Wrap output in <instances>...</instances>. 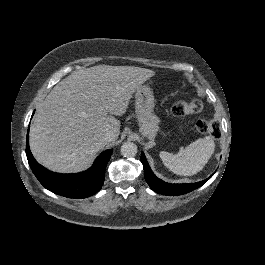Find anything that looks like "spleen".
I'll use <instances>...</instances> for the list:
<instances>
[{"mask_svg":"<svg viewBox=\"0 0 265 265\" xmlns=\"http://www.w3.org/2000/svg\"><path fill=\"white\" fill-rule=\"evenodd\" d=\"M214 148L215 143L212 139L199 138L177 154L161 151L160 158L173 173L191 176L203 169L214 153Z\"/></svg>","mask_w":265,"mask_h":265,"instance_id":"spleen-1","label":"spleen"}]
</instances>
